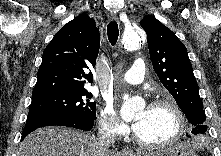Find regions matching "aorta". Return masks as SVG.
<instances>
[{
    "label": "aorta",
    "instance_id": "aorta-1",
    "mask_svg": "<svg viewBox=\"0 0 221 156\" xmlns=\"http://www.w3.org/2000/svg\"><path fill=\"white\" fill-rule=\"evenodd\" d=\"M143 34L135 29L127 30L121 38V45L127 50H134L141 46ZM124 103L120 113L124 119H132L135 112L143 107V102L137 98H130L128 95L123 96Z\"/></svg>",
    "mask_w": 221,
    "mask_h": 156
}]
</instances>
